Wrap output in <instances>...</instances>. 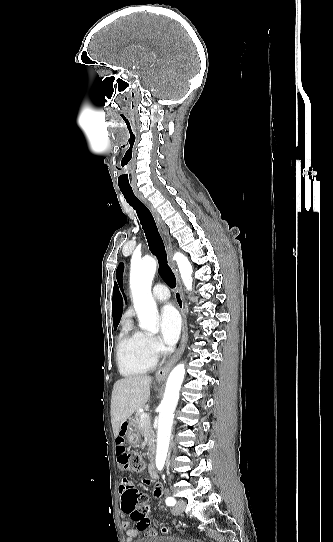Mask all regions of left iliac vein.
<instances>
[{
    "label": "left iliac vein",
    "mask_w": 333,
    "mask_h": 542,
    "mask_svg": "<svg viewBox=\"0 0 333 542\" xmlns=\"http://www.w3.org/2000/svg\"><path fill=\"white\" fill-rule=\"evenodd\" d=\"M186 507V503L184 500H178L175 504V506L173 507V514H181L183 512V510L185 509Z\"/></svg>",
    "instance_id": "left-iliac-vein-1"
}]
</instances>
